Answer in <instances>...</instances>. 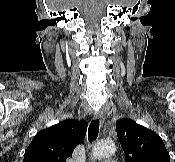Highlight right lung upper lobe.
<instances>
[{
	"instance_id": "cb5924a9",
	"label": "right lung upper lobe",
	"mask_w": 175,
	"mask_h": 162,
	"mask_svg": "<svg viewBox=\"0 0 175 162\" xmlns=\"http://www.w3.org/2000/svg\"><path fill=\"white\" fill-rule=\"evenodd\" d=\"M86 130V121L70 119L39 131L26 149L23 162H66Z\"/></svg>"
}]
</instances>
